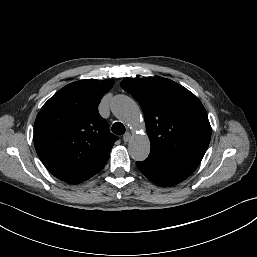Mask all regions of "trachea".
Instances as JSON below:
<instances>
[{
    "label": "trachea",
    "instance_id": "3493384b",
    "mask_svg": "<svg viewBox=\"0 0 257 257\" xmlns=\"http://www.w3.org/2000/svg\"><path fill=\"white\" fill-rule=\"evenodd\" d=\"M111 130L116 135H123L125 133V127L121 122H115Z\"/></svg>",
    "mask_w": 257,
    "mask_h": 257
}]
</instances>
